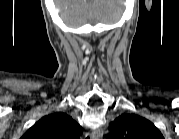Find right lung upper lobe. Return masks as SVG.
I'll return each instance as SVG.
<instances>
[{
	"label": "right lung upper lobe",
	"mask_w": 179,
	"mask_h": 139,
	"mask_svg": "<svg viewBox=\"0 0 179 139\" xmlns=\"http://www.w3.org/2000/svg\"><path fill=\"white\" fill-rule=\"evenodd\" d=\"M81 126L69 115L56 112L42 117L24 135L23 139H77Z\"/></svg>",
	"instance_id": "right-lung-upper-lobe-1"
}]
</instances>
